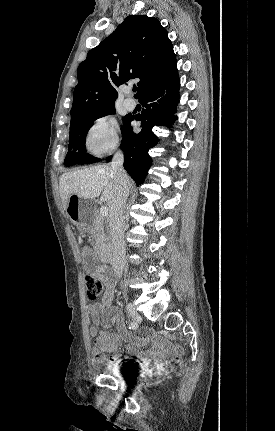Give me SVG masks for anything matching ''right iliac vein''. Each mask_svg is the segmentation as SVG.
<instances>
[{"mask_svg": "<svg viewBox=\"0 0 275 431\" xmlns=\"http://www.w3.org/2000/svg\"><path fill=\"white\" fill-rule=\"evenodd\" d=\"M126 308H127L128 313L130 314V316H132L133 318L138 317V312H137V310L133 304L128 303Z\"/></svg>", "mask_w": 275, "mask_h": 431, "instance_id": "63e3f726", "label": "right iliac vein"}]
</instances>
